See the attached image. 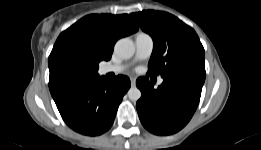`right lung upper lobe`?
Listing matches in <instances>:
<instances>
[{"mask_svg": "<svg viewBox=\"0 0 261 150\" xmlns=\"http://www.w3.org/2000/svg\"><path fill=\"white\" fill-rule=\"evenodd\" d=\"M137 30L127 14H91L63 31L48 59L52 97L72 86L101 78L99 62L111 58L119 38Z\"/></svg>", "mask_w": 261, "mask_h": 150, "instance_id": "right-lung-upper-lobe-1", "label": "right lung upper lobe"}]
</instances>
